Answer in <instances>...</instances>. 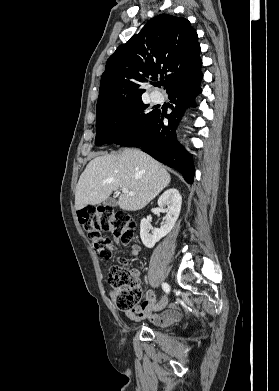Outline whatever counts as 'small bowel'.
<instances>
[{"label": "small bowel", "instance_id": "c3829d8e", "mask_svg": "<svg viewBox=\"0 0 279 391\" xmlns=\"http://www.w3.org/2000/svg\"><path fill=\"white\" fill-rule=\"evenodd\" d=\"M140 246L133 244L130 247L129 256L134 257L138 255ZM137 277V272H133ZM156 296L153 290H147L144 301L137 305L134 309L126 311L125 315L128 319L134 322H140L149 319L158 326H168L180 319V308L177 304H170L162 314H154L152 312Z\"/></svg>", "mask_w": 279, "mask_h": 391}]
</instances>
